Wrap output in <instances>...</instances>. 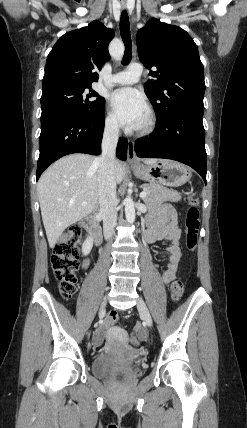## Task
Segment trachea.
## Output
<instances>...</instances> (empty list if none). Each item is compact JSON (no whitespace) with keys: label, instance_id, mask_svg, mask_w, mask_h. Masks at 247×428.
I'll list each match as a JSON object with an SVG mask.
<instances>
[{"label":"trachea","instance_id":"obj_1","mask_svg":"<svg viewBox=\"0 0 247 428\" xmlns=\"http://www.w3.org/2000/svg\"><path fill=\"white\" fill-rule=\"evenodd\" d=\"M120 34L125 45V53L123 57V64L130 61L132 57V41L130 35L129 16L126 10L122 11L120 18Z\"/></svg>","mask_w":247,"mask_h":428}]
</instances>
